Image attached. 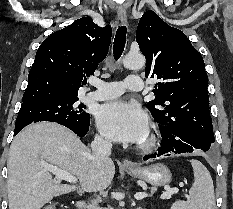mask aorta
<instances>
[{
  "instance_id": "1",
  "label": "aorta",
  "mask_w": 233,
  "mask_h": 209,
  "mask_svg": "<svg viewBox=\"0 0 233 209\" xmlns=\"http://www.w3.org/2000/svg\"><path fill=\"white\" fill-rule=\"evenodd\" d=\"M145 58L141 54H127L123 59V65L128 69H141L145 65Z\"/></svg>"
}]
</instances>
